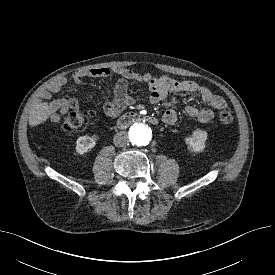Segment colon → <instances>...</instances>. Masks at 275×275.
Listing matches in <instances>:
<instances>
[{
  "instance_id": "obj_1",
  "label": "colon",
  "mask_w": 275,
  "mask_h": 275,
  "mask_svg": "<svg viewBox=\"0 0 275 275\" xmlns=\"http://www.w3.org/2000/svg\"><path fill=\"white\" fill-rule=\"evenodd\" d=\"M94 116L93 112H80L73 110L69 112L62 121V129L66 132H73L81 128ZM217 119L221 124L227 125L233 121V115L229 108H223L218 112Z\"/></svg>"
}]
</instances>
